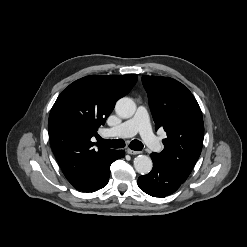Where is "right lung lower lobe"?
<instances>
[{
	"label": "right lung lower lobe",
	"instance_id": "98d812e1",
	"mask_svg": "<svg viewBox=\"0 0 247 247\" xmlns=\"http://www.w3.org/2000/svg\"><path fill=\"white\" fill-rule=\"evenodd\" d=\"M124 155H125V153L123 150H115L114 153L112 154L111 159L109 160L106 168L104 169L103 173L95 181H93L91 184H89L85 188L79 189V191H83V192H87V193L88 192H94V191L101 189L104 186H106V184L109 181L111 163L118 158L124 157Z\"/></svg>",
	"mask_w": 247,
	"mask_h": 247
}]
</instances>
